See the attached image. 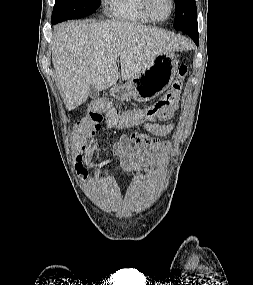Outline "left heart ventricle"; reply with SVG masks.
Wrapping results in <instances>:
<instances>
[{
	"instance_id": "left-heart-ventricle-1",
	"label": "left heart ventricle",
	"mask_w": 253,
	"mask_h": 285,
	"mask_svg": "<svg viewBox=\"0 0 253 285\" xmlns=\"http://www.w3.org/2000/svg\"><path fill=\"white\" fill-rule=\"evenodd\" d=\"M152 13L158 18H165L170 12L169 0H150Z\"/></svg>"
}]
</instances>
